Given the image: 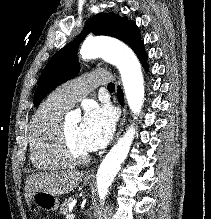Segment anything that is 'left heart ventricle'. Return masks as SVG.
Here are the masks:
<instances>
[{
    "mask_svg": "<svg viewBox=\"0 0 211 219\" xmlns=\"http://www.w3.org/2000/svg\"><path fill=\"white\" fill-rule=\"evenodd\" d=\"M68 137L73 147L81 153L87 152L80 141V124L78 122L66 123L65 125Z\"/></svg>",
    "mask_w": 211,
    "mask_h": 219,
    "instance_id": "obj_1",
    "label": "left heart ventricle"
}]
</instances>
